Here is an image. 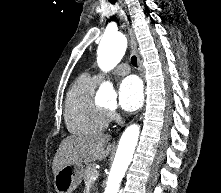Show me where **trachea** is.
<instances>
[{"label": "trachea", "mask_w": 221, "mask_h": 193, "mask_svg": "<svg viewBox=\"0 0 221 193\" xmlns=\"http://www.w3.org/2000/svg\"><path fill=\"white\" fill-rule=\"evenodd\" d=\"M110 3L115 4L116 0H109ZM131 64L135 67H137V58L136 56H132L131 58Z\"/></svg>", "instance_id": "3493384b"}]
</instances>
